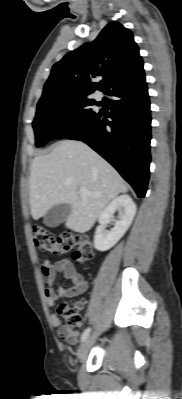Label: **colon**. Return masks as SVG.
<instances>
[{
  "label": "colon",
  "instance_id": "colon-1",
  "mask_svg": "<svg viewBox=\"0 0 182 399\" xmlns=\"http://www.w3.org/2000/svg\"><path fill=\"white\" fill-rule=\"evenodd\" d=\"M33 241L41 250L51 254H66L73 251V259L78 263H86L93 259L94 251L90 238L84 234L63 233L52 234L41 225L32 227ZM80 304H62L58 314L65 321L67 337L75 338V328L81 324Z\"/></svg>",
  "mask_w": 182,
  "mask_h": 399
}]
</instances>
